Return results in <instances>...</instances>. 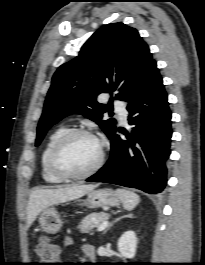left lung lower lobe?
Instances as JSON below:
<instances>
[{"instance_id":"obj_1","label":"left lung lower lobe","mask_w":205,"mask_h":265,"mask_svg":"<svg viewBox=\"0 0 205 265\" xmlns=\"http://www.w3.org/2000/svg\"><path fill=\"white\" fill-rule=\"evenodd\" d=\"M129 124L127 140L111 135L108 162L88 182H105L137 188L149 194L161 193L167 182L165 162L170 155L171 112L162 77L156 64L127 98ZM120 131V130H118Z\"/></svg>"}]
</instances>
